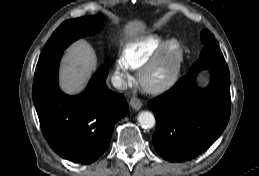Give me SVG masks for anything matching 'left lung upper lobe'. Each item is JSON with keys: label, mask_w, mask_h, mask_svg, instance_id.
I'll return each instance as SVG.
<instances>
[{"label": "left lung upper lobe", "mask_w": 259, "mask_h": 176, "mask_svg": "<svg viewBox=\"0 0 259 176\" xmlns=\"http://www.w3.org/2000/svg\"><path fill=\"white\" fill-rule=\"evenodd\" d=\"M201 40L204 48L199 59L192 65L188 73H197L207 68L229 71L223 54L215 43L214 35L209 30L204 29L201 32Z\"/></svg>", "instance_id": "left-lung-upper-lobe-1"}]
</instances>
